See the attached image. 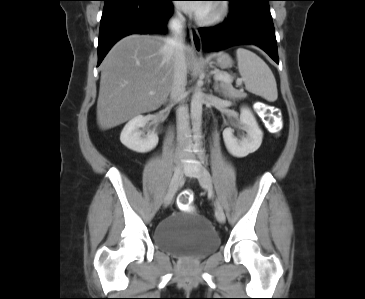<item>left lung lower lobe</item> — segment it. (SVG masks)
Instances as JSON below:
<instances>
[{"mask_svg": "<svg viewBox=\"0 0 365 299\" xmlns=\"http://www.w3.org/2000/svg\"><path fill=\"white\" fill-rule=\"evenodd\" d=\"M230 1L227 19L215 27L199 29L203 48L218 51L237 44H254L279 63L274 25L270 13L271 0Z\"/></svg>", "mask_w": 365, "mask_h": 299, "instance_id": "1", "label": "left lung lower lobe"}]
</instances>
